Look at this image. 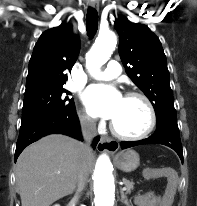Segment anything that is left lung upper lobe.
I'll use <instances>...</instances> for the list:
<instances>
[{"label": "left lung upper lobe", "instance_id": "5c2ea615", "mask_svg": "<svg viewBox=\"0 0 197 206\" xmlns=\"http://www.w3.org/2000/svg\"><path fill=\"white\" fill-rule=\"evenodd\" d=\"M115 29L120 38L119 55L125 71L152 103L156 128H178L166 56L160 40L147 26L132 23L122 16L115 22Z\"/></svg>", "mask_w": 197, "mask_h": 206}]
</instances>
